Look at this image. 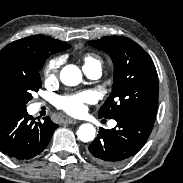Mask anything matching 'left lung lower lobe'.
Returning a JSON list of instances; mask_svg holds the SVG:
<instances>
[{
  "label": "left lung lower lobe",
  "instance_id": "left-lung-lower-lobe-1",
  "mask_svg": "<svg viewBox=\"0 0 183 183\" xmlns=\"http://www.w3.org/2000/svg\"><path fill=\"white\" fill-rule=\"evenodd\" d=\"M114 119L117 126L111 130L100 128L87 151L91 160L108 167L135 155L147 141L154 125V121L137 115H121Z\"/></svg>",
  "mask_w": 183,
  "mask_h": 183
}]
</instances>
